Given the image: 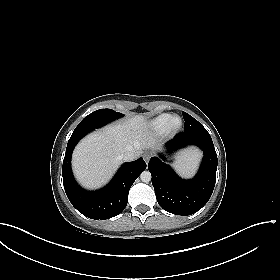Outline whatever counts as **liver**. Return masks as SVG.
Here are the masks:
<instances>
[{
    "label": "liver",
    "mask_w": 280,
    "mask_h": 280,
    "mask_svg": "<svg viewBox=\"0 0 280 280\" xmlns=\"http://www.w3.org/2000/svg\"><path fill=\"white\" fill-rule=\"evenodd\" d=\"M155 144L156 139L142 115L106 126L77 145L72 157L74 174L84 187L98 188L117 170L122 154L129 151L138 157L143 149L153 148ZM194 155L195 152H186L182 157Z\"/></svg>",
    "instance_id": "obj_1"
}]
</instances>
